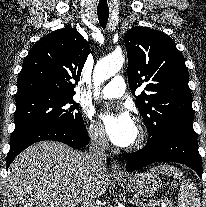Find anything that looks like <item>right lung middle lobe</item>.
I'll use <instances>...</instances> for the list:
<instances>
[{
	"label": "right lung middle lobe",
	"mask_w": 206,
	"mask_h": 207,
	"mask_svg": "<svg viewBox=\"0 0 206 207\" xmlns=\"http://www.w3.org/2000/svg\"><path fill=\"white\" fill-rule=\"evenodd\" d=\"M16 101L15 129L12 138L45 126H57L83 131L85 125L73 96L32 95Z\"/></svg>",
	"instance_id": "right-lung-middle-lobe-1"
}]
</instances>
